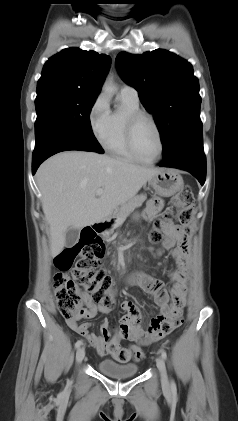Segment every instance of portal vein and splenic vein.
I'll list each match as a JSON object with an SVG mask.
<instances>
[{"mask_svg": "<svg viewBox=\"0 0 238 421\" xmlns=\"http://www.w3.org/2000/svg\"><path fill=\"white\" fill-rule=\"evenodd\" d=\"M103 194V190L102 189H98L97 191H96V195L97 196H100V195H102Z\"/></svg>", "mask_w": 238, "mask_h": 421, "instance_id": "1", "label": "portal vein and splenic vein"}]
</instances>
